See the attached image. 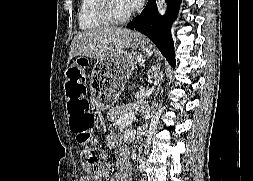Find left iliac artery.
Masks as SVG:
<instances>
[{"label":"left iliac artery","instance_id":"left-iliac-artery-1","mask_svg":"<svg viewBox=\"0 0 253 181\" xmlns=\"http://www.w3.org/2000/svg\"><path fill=\"white\" fill-rule=\"evenodd\" d=\"M145 167V161L144 160H140V168L144 169Z\"/></svg>","mask_w":253,"mask_h":181}]
</instances>
